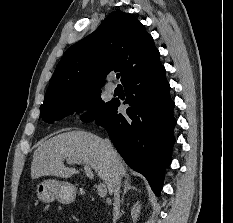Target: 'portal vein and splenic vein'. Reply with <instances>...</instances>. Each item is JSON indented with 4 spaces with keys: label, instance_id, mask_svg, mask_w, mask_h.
I'll list each match as a JSON object with an SVG mask.
<instances>
[{
    "label": "portal vein and splenic vein",
    "instance_id": "18ae733b",
    "mask_svg": "<svg viewBox=\"0 0 233 223\" xmlns=\"http://www.w3.org/2000/svg\"><path fill=\"white\" fill-rule=\"evenodd\" d=\"M78 163H81L82 165V161H78ZM85 167H87V169H91L89 165H84V169ZM87 175L88 177H91V179H94V173H90V171H88ZM97 187H98V195H100V197H105V195H107V191L105 189V183H101V181H99Z\"/></svg>",
    "mask_w": 233,
    "mask_h": 223
}]
</instances>
